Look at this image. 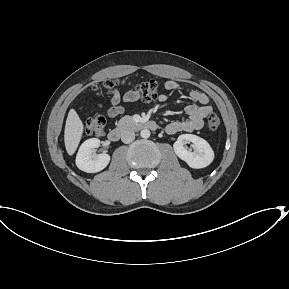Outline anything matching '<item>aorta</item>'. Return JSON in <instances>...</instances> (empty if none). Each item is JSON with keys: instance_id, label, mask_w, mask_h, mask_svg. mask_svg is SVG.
Returning a JSON list of instances; mask_svg holds the SVG:
<instances>
[{"instance_id": "1", "label": "aorta", "mask_w": 289, "mask_h": 289, "mask_svg": "<svg viewBox=\"0 0 289 289\" xmlns=\"http://www.w3.org/2000/svg\"><path fill=\"white\" fill-rule=\"evenodd\" d=\"M142 138L147 139L150 137V131L148 129H143L140 132Z\"/></svg>"}]
</instances>
